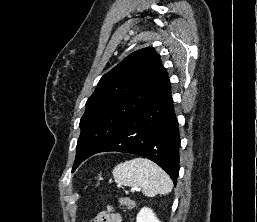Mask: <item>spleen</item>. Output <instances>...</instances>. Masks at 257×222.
<instances>
[{"label": "spleen", "instance_id": "1", "mask_svg": "<svg viewBox=\"0 0 257 222\" xmlns=\"http://www.w3.org/2000/svg\"><path fill=\"white\" fill-rule=\"evenodd\" d=\"M112 174L118 184L139 187L147 196L166 195L172 190L169 176L148 159L136 158L120 163Z\"/></svg>", "mask_w": 257, "mask_h": 222}]
</instances>
